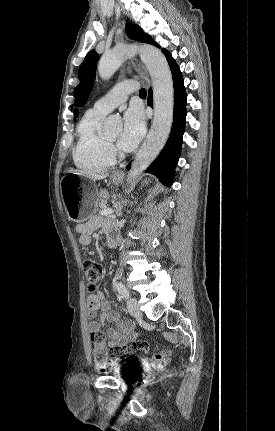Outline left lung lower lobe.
Masks as SVG:
<instances>
[{
  "mask_svg": "<svg viewBox=\"0 0 275 431\" xmlns=\"http://www.w3.org/2000/svg\"><path fill=\"white\" fill-rule=\"evenodd\" d=\"M169 63L174 85V118L169 139L146 172L156 175L166 186H170L175 173V166L181 152L182 137L185 129L187 96L179 66L166 50L163 52ZM152 90H149L148 105L152 107ZM130 165L127 166L129 168Z\"/></svg>",
  "mask_w": 275,
  "mask_h": 431,
  "instance_id": "left-lung-lower-lobe-1",
  "label": "left lung lower lobe"
}]
</instances>
